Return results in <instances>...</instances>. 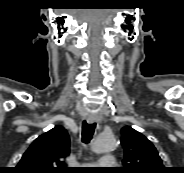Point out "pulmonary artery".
Wrapping results in <instances>:
<instances>
[{
    "mask_svg": "<svg viewBox=\"0 0 184 173\" xmlns=\"http://www.w3.org/2000/svg\"><path fill=\"white\" fill-rule=\"evenodd\" d=\"M116 163L115 158L112 155H106L101 158L97 165L103 166V168H110Z\"/></svg>",
    "mask_w": 184,
    "mask_h": 173,
    "instance_id": "pulmonary-artery-1",
    "label": "pulmonary artery"
}]
</instances>
